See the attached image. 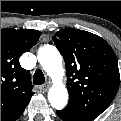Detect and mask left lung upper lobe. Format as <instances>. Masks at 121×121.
<instances>
[{
    "label": "left lung upper lobe",
    "mask_w": 121,
    "mask_h": 121,
    "mask_svg": "<svg viewBox=\"0 0 121 121\" xmlns=\"http://www.w3.org/2000/svg\"><path fill=\"white\" fill-rule=\"evenodd\" d=\"M53 40L66 65L69 103L62 111L91 121L117 93L120 76L116 56L105 40L87 31L63 29Z\"/></svg>",
    "instance_id": "5c2ea615"
}]
</instances>
